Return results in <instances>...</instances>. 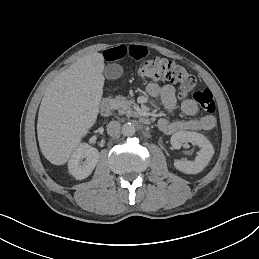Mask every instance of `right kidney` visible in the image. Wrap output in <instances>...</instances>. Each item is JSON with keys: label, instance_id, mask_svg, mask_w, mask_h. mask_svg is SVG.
Listing matches in <instances>:
<instances>
[{"label": "right kidney", "instance_id": "ca27d5eb", "mask_svg": "<svg viewBox=\"0 0 259 259\" xmlns=\"http://www.w3.org/2000/svg\"><path fill=\"white\" fill-rule=\"evenodd\" d=\"M85 159L84 161H82ZM99 159V152L96 148L81 143L68 162V170L76 179L87 178L94 170Z\"/></svg>", "mask_w": 259, "mask_h": 259}]
</instances>
